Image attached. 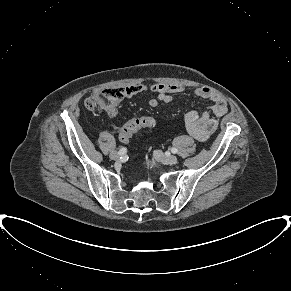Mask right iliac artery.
<instances>
[{
	"label": "right iliac artery",
	"mask_w": 291,
	"mask_h": 291,
	"mask_svg": "<svg viewBox=\"0 0 291 291\" xmlns=\"http://www.w3.org/2000/svg\"><path fill=\"white\" fill-rule=\"evenodd\" d=\"M126 151H127V149H126L125 147H122V148H120V150L118 151V153H119L120 155H123V154L126 153Z\"/></svg>",
	"instance_id": "1"
}]
</instances>
